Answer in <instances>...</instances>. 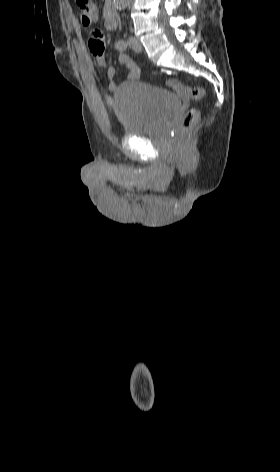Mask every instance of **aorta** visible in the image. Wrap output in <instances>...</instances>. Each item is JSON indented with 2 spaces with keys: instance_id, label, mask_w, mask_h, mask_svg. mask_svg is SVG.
Here are the masks:
<instances>
[{
  "instance_id": "1",
  "label": "aorta",
  "mask_w": 280,
  "mask_h": 472,
  "mask_svg": "<svg viewBox=\"0 0 280 472\" xmlns=\"http://www.w3.org/2000/svg\"><path fill=\"white\" fill-rule=\"evenodd\" d=\"M130 0H114V5L117 9L121 10L124 9L128 4Z\"/></svg>"
}]
</instances>
